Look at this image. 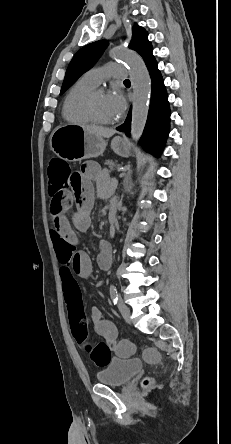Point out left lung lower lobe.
<instances>
[{
	"instance_id": "obj_1",
	"label": "left lung lower lobe",
	"mask_w": 231,
	"mask_h": 444,
	"mask_svg": "<svg viewBox=\"0 0 231 444\" xmlns=\"http://www.w3.org/2000/svg\"><path fill=\"white\" fill-rule=\"evenodd\" d=\"M152 80L151 102L147 122L140 144L144 149L155 156H160L170 130V107L168 95L164 85V80L157 67V62L153 54L145 60ZM131 113L126 121L117 127V130L130 135Z\"/></svg>"
}]
</instances>
